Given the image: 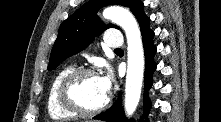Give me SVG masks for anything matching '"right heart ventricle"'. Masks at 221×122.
<instances>
[{
	"label": "right heart ventricle",
	"instance_id": "right-heart-ventricle-1",
	"mask_svg": "<svg viewBox=\"0 0 221 122\" xmlns=\"http://www.w3.org/2000/svg\"><path fill=\"white\" fill-rule=\"evenodd\" d=\"M74 69L72 66H66L62 68L54 77L50 88L48 90L47 95V110L50 115V117L54 120H65L69 118H73L76 116V114L67 111L64 109L59 101L57 96V90L58 86L61 82V80Z\"/></svg>",
	"mask_w": 221,
	"mask_h": 122
}]
</instances>
